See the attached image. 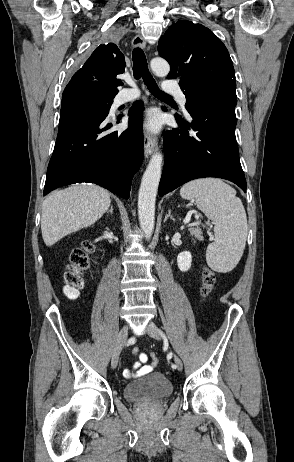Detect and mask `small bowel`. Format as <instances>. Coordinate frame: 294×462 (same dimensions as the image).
<instances>
[{
  "instance_id": "small-bowel-1",
  "label": "small bowel",
  "mask_w": 294,
  "mask_h": 462,
  "mask_svg": "<svg viewBox=\"0 0 294 462\" xmlns=\"http://www.w3.org/2000/svg\"><path fill=\"white\" fill-rule=\"evenodd\" d=\"M137 354V350L134 351ZM148 357L145 353L138 354V361H136L133 365L132 370H124L123 375L126 378H133L143 376L153 371L154 365L148 364Z\"/></svg>"
}]
</instances>
